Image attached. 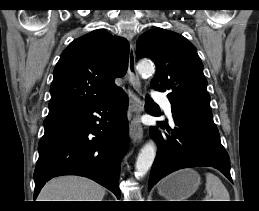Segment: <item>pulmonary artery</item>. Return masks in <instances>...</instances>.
I'll list each match as a JSON object with an SVG mask.
<instances>
[{
  "mask_svg": "<svg viewBox=\"0 0 259 211\" xmlns=\"http://www.w3.org/2000/svg\"><path fill=\"white\" fill-rule=\"evenodd\" d=\"M152 96L161 103V105H162L163 109L165 110L167 116L169 117V119L171 121H173L170 101L158 91H154Z\"/></svg>",
  "mask_w": 259,
  "mask_h": 211,
  "instance_id": "e3ab8cb5",
  "label": "pulmonary artery"
}]
</instances>
